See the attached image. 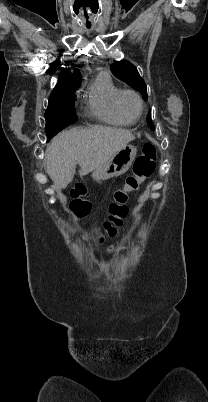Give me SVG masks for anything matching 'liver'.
Returning <instances> with one entry per match:
<instances>
[{
  "label": "liver",
  "instance_id": "obj_1",
  "mask_svg": "<svg viewBox=\"0 0 208 402\" xmlns=\"http://www.w3.org/2000/svg\"><path fill=\"white\" fill-rule=\"evenodd\" d=\"M135 136L129 130L94 126L90 130H67L53 138L45 154L46 172L55 186L67 188L76 174L87 176L122 150Z\"/></svg>",
  "mask_w": 208,
  "mask_h": 402
}]
</instances>
